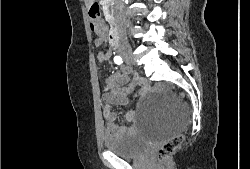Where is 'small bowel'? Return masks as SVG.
<instances>
[{
    "label": "small bowel",
    "mask_w": 250,
    "mask_h": 169,
    "mask_svg": "<svg viewBox=\"0 0 250 169\" xmlns=\"http://www.w3.org/2000/svg\"><path fill=\"white\" fill-rule=\"evenodd\" d=\"M106 41L104 29L98 33L96 39L97 45H102ZM110 56V53L100 52L98 61L103 62ZM149 88V81L138 74L131 75L130 72L123 70L110 75L106 79L104 101L106 109L104 111L106 122V133L108 135L114 133H132L136 130L135 119L136 113L134 109H129L125 113V119L128 125L117 126L115 124L116 113L111 110L113 105H126L129 97L133 95L135 98H141Z\"/></svg>",
    "instance_id": "1"
}]
</instances>
